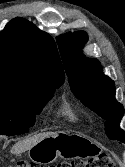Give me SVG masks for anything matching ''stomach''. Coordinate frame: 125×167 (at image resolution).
<instances>
[{
    "label": "stomach",
    "instance_id": "0dacf381",
    "mask_svg": "<svg viewBox=\"0 0 125 167\" xmlns=\"http://www.w3.org/2000/svg\"><path fill=\"white\" fill-rule=\"evenodd\" d=\"M98 144L81 133L58 132L28 150L30 160L38 164L52 163L57 158L90 157L100 153Z\"/></svg>",
    "mask_w": 125,
    "mask_h": 167
}]
</instances>
